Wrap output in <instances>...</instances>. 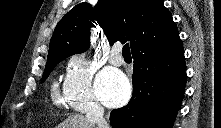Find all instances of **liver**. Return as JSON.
Listing matches in <instances>:
<instances>
[{
	"label": "liver",
	"instance_id": "obj_1",
	"mask_svg": "<svg viewBox=\"0 0 221 128\" xmlns=\"http://www.w3.org/2000/svg\"><path fill=\"white\" fill-rule=\"evenodd\" d=\"M57 128H94V123L82 114H74L70 115Z\"/></svg>",
	"mask_w": 221,
	"mask_h": 128
}]
</instances>
